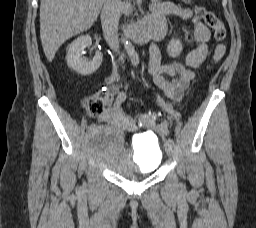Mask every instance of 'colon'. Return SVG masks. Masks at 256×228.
I'll use <instances>...</instances> for the list:
<instances>
[{
    "mask_svg": "<svg viewBox=\"0 0 256 228\" xmlns=\"http://www.w3.org/2000/svg\"><path fill=\"white\" fill-rule=\"evenodd\" d=\"M185 3H192L193 0H182ZM195 14L198 18L203 20L205 24L210 27L214 32V38L218 42H222L226 37V29L223 22L212 12L203 6H195ZM226 47L223 44H218L213 52L212 63H218L225 55ZM85 106L89 114L99 116L104 110V94L97 93L89 96L85 100ZM158 115L155 113H142L139 115L138 120L141 126L150 127L156 124Z\"/></svg>",
    "mask_w": 256,
    "mask_h": 228,
    "instance_id": "obj_1",
    "label": "colon"
}]
</instances>
